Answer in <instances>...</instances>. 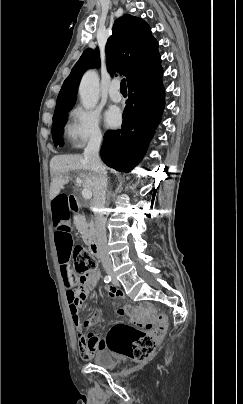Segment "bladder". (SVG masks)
<instances>
[{"label": "bladder", "instance_id": "obj_1", "mask_svg": "<svg viewBox=\"0 0 243 404\" xmlns=\"http://www.w3.org/2000/svg\"><path fill=\"white\" fill-rule=\"evenodd\" d=\"M93 363L106 370H112L117 367V360L110 350L101 349L93 356Z\"/></svg>", "mask_w": 243, "mask_h": 404}]
</instances>
